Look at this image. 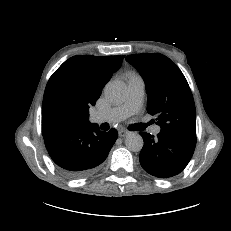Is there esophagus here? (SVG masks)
I'll return each mask as SVG.
<instances>
[{"label":"esophagus","instance_id":"34e87169","mask_svg":"<svg viewBox=\"0 0 231 231\" xmlns=\"http://www.w3.org/2000/svg\"><path fill=\"white\" fill-rule=\"evenodd\" d=\"M129 134V131L125 130V129H120L119 130V136L120 137H125Z\"/></svg>","mask_w":231,"mask_h":231}]
</instances>
